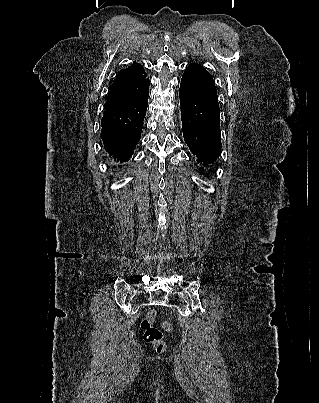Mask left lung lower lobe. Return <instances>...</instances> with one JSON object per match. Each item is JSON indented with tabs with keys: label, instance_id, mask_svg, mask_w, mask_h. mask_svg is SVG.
<instances>
[{
	"label": "left lung lower lobe",
	"instance_id": "obj_1",
	"mask_svg": "<svg viewBox=\"0 0 319 403\" xmlns=\"http://www.w3.org/2000/svg\"><path fill=\"white\" fill-rule=\"evenodd\" d=\"M183 137L197 162L208 167L220 156V114L213 77L204 67L190 64L180 83Z\"/></svg>",
	"mask_w": 319,
	"mask_h": 403
}]
</instances>
